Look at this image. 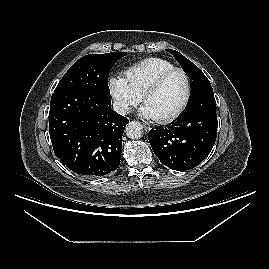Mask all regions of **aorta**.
Listing matches in <instances>:
<instances>
[{"label": "aorta", "mask_w": 269, "mask_h": 269, "mask_svg": "<svg viewBox=\"0 0 269 269\" xmlns=\"http://www.w3.org/2000/svg\"><path fill=\"white\" fill-rule=\"evenodd\" d=\"M125 132L128 138L139 139L142 137L144 130L139 122L132 121L126 125Z\"/></svg>", "instance_id": "aorta-1"}]
</instances>
